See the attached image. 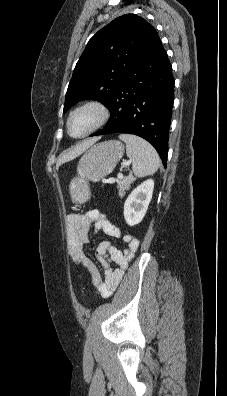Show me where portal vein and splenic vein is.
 <instances>
[{
	"mask_svg": "<svg viewBox=\"0 0 227 396\" xmlns=\"http://www.w3.org/2000/svg\"><path fill=\"white\" fill-rule=\"evenodd\" d=\"M128 164H129V162L126 163V165H128ZM117 177H118L119 179H122V178H123L122 172H119L118 175H117ZM110 182H113V180H111Z\"/></svg>",
	"mask_w": 227,
	"mask_h": 396,
	"instance_id": "1",
	"label": "portal vein and splenic vein"
}]
</instances>
